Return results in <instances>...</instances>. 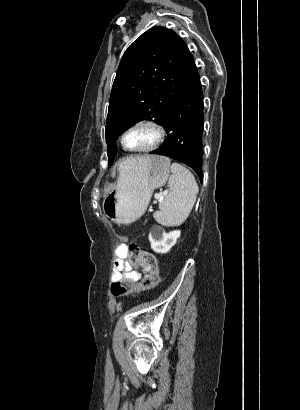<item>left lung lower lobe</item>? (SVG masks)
Segmentation results:
<instances>
[{
    "instance_id": "0a47b994",
    "label": "left lung lower lobe",
    "mask_w": 300,
    "mask_h": 410,
    "mask_svg": "<svg viewBox=\"0 0 300 410\" xmlns=\"http://www.w3.org/2000/svg\"><path fill=\"white\" fill-rule=\"evenodd\" d=\"M161 125L168 133L167 138L159 149L150 153L167 156L188 165L202 181L204 105L196 65Z\"/></svg>"
}]
</instances>
